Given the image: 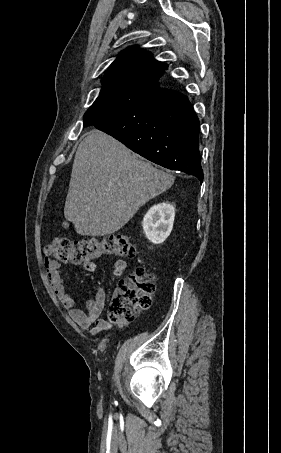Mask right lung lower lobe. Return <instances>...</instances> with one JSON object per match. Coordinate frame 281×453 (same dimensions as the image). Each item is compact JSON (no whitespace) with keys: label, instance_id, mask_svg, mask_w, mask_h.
Returning a JSON list of instances; mask_svg holds the SVG:
<instances>
[{"label":"right lung lower lobe","instance_id":"obj_1","mask_svg":"<svg viewBox=\"0 0 281 453\" xmlns=\"http://www.w3.org/2000/svg\"><path fill=\"white\" fill-rule=\"evenodd\" d=\"M89 124L146 159L202 183L199 120L183 94L159 86L129 101L87 110Z\"/></svg>","mask_w":281,"mask_h":453}]
</instances>
